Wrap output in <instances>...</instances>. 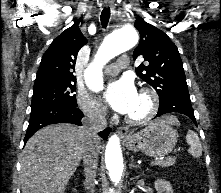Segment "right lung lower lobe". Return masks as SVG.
Returning <instances> with one entry per match:
<instances>
[{
	"mask_svg": "<svg viewBox=\"0 0 221 193\" xmlns=\"http://www.w3.org/2000/svg\"><path fill=\"white\" fill-rule=\"evenodd\" d=\"M84 114L77 108V105H68L64 103L44 105L31 110L29 126L27 128L24 144L40 128L54 123H73L81 125V119ZM111 129L106 128L99 132L103 139L108 137Z\"/></svg>",
	"mask_w": 221,
	"mask_h": 193,
	"instance_id": "obj_1",
	"label": "right lung lower lobe"
}]
</instances>
